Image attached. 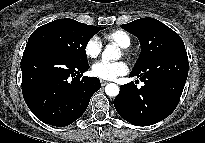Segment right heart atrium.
I'll use <instances>...</instances> for the list:
<instances>
[{
  "label": "right heart atrium",
  "instance_id": "right-heart-atrium-1",
  "mask_svg": "<svg viewBox=\"0 0 205 143\" xmlns=\"http://www.w3.org/2000/svg\"><path fill=\"white\" fill-rule=\"evenodd\" d=\"M102 42L99 37L91 36L85 43L84 53L89 59L97 58L102 51Z\"/></svg>",
  "mask_w": 205,
  "mask_h": 143
}]
</instances>
